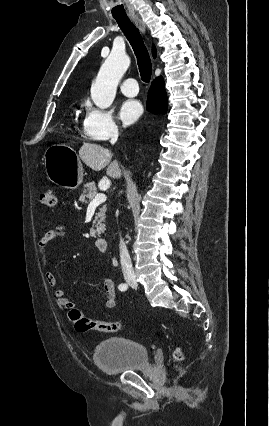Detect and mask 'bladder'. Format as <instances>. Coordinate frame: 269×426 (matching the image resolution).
Wrapping results in <instances>:
<instances>
[{
	"label": "bladder",
	"mask_w": 269,
	"mask_h": 426,
	"mask_svg": "<svg viewBox=\"0 0 269 426\" xmlns=\"http://www.w3.org/2000/svg\"><path fill=\"white\" fill-rule=\"evenodd\" d=\"M93 360L103 372L110 375L145 369L149 365L146 348L124 337L101 341L94 350Z\"/></svg>",
	"instance_id": "obj_1"
}]
</instances>
